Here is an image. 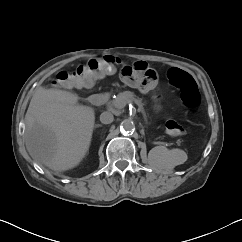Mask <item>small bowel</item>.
<instances>
[{"instance_id": "small-bowel-1", "label": "small bowel", "mask_w": 242, "mask_h": 242, "mask_svg": "<svg viewBox=\"0 0 242 242\" xmlns=\"http://www.w3.org/2000/svg\"><path fill=\"white\" fill-rule=\"evenodd\" d=\"M144 64H145V63L142 62V61L136 62V66H141V65H144ZM121 76H122L123 80H124L127 84H129L130 86H133V87H138V86H140V84L137 83V82H131V81L126 80L122 74H121ZM145 88H148V87H145Z\"/></svg>"}]
</instances>
